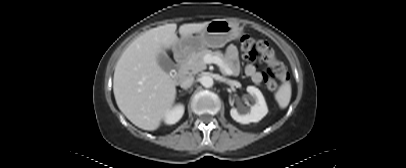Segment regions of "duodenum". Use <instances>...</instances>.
Wrapping results in <instances>:
<instances>
[{
  "instance_id": "410a0bca",
  "label": "duodenum",
  "mask_w": 406,
  "mask_h": 168,
  "mask_svg": "<svg viewBox=\"0 0 406 168\" xmlns=\"http://www.w3.org/2000/svg\"><path fill=\"white\" fill-rule=\"evenodd\" d=\"M187 60L186 54H178L175 59L177 73L174 76V79L178 81L186 74L185 64Z\"/></svg>"
}]
</instances>
